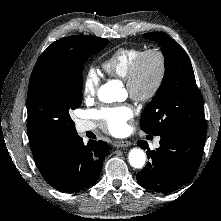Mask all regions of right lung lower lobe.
<instances>
[{
  "instance_id": "right-lung-lower-lobe-1",
  "label": "right lung lower lobe",
  "mask_w": 221,
  "mask_h": 221,
  "mask_svg": "<svg viewBox=\"0 0 221 221\" xmlns=\"http://www.w3.org/2000/svg\"><path fill=\"white\" fill-rule=\"evenodd\" d=\"M108 148L101 140H89L85 145L82 138L73 137L58 149L49 165L40 172L49 185L61 192L83 190L97 181Z\"/></svg>"
}]
</instances>
